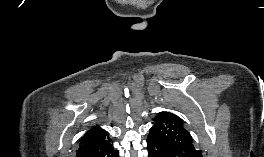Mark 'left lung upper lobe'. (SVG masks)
Masks as SVG:
<instances>
[{"mask_svg":"<svg viewBox=\"0 0 264 157\" xmlns=\"http://www.w3.org/2000/svg\"><path fill=\"white\" fill-rule=\"evenodd\" d=\"M153 121L147 139L163 144L172 157H202V151L195 149L181 118L170 112H160Z\"/></svg>","mask_w":264,"mask_h":157,"instance_id":"obj_1","label":"left lung upper lobe"}]
</instances>
